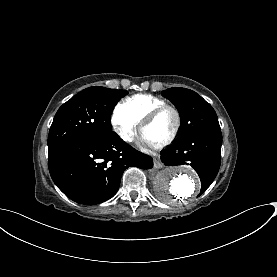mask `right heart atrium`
Returning a JSON list of instances; mask_svg holds the SVG:
<instances>
[{
    "label": "right heart atrium",
    "mask_w": 277,
    "mask_h": 277,
    "mask_svg": "<svg viewBox=\"0 0 277 277\" xmlns=\"http://www.w3.org/2000/svg\"><path fill=\"white\" fill-rule=\"evenodd\" d=\"M139 122L131 115L117 108L112 117V125L118 136L125 142H131L135 135Z\"/></svg>",
    "instance_id": "1"
}]
</instances>
